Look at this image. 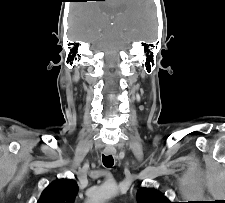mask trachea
<instances>
[{
	"label": "trachea",
	"instance_id": "trachea-1",
	"mask_svg": "<svg viewBox=\"0 0 225 203\" xmlns=\"http://www.w3.org/2000/svg\"><path fill=\"white\" fill-rule=\"evenodd\" d=\"M103 164L107 168L112 167L114 164V159L112 155H108V156L103 155Z\"/></svg>",
	"mask_w": 225,
	"mask_h": 203
}]
</instances>
